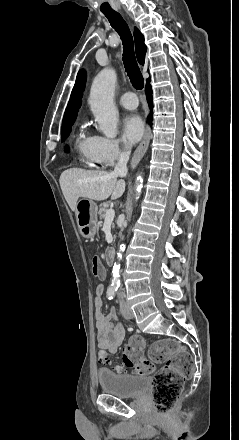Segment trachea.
I'll return each mask as SVG.
<instances>
[{
    "label": "trachea",
    "mask_w": 239,
    "mask_h": 440,
    "mask_svg": "<svg viewBox=\"0 0 239 440\" xmlns=\"http://www.w3.org/2000/svg\"><path fill=\"white\" fill-rule=\"evenodd\" d=\"M104 15L121 37L123 42V63L133 87L136 88V90H142L144 87V78L137 64L134 52V41L127 23L121 17L120 13L111 12L105 13Z\"/></svg>",
    "instance_id": "obj_1"
}]
</instances>
